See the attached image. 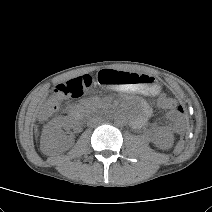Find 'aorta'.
<instances>
[{
    "instance_id": "aorta-1",
    "label": "aorta",
    "mask_w": 212,
    "mask_h": 212,
    "mask_svg": "<svg viewBox=\"0 0 212 212\" xmlns=\"http://www.w3.org/2000/svg\"><path fill=\"white\" fill-rule=\"evenodd\" d=\"M115 123L118 124V125H123L125 123V119L123 116H117L115 118Z\"/></svg>"
}]
</instances>
